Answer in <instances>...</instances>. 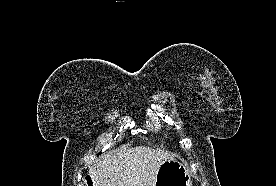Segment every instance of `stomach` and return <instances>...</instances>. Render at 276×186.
Wrapping results in <instances>:
<instances>
[{"label": "stomach", "instance_id": "obj_1", "mask_svg": "<svg viewBox=\"0 0 276 186\" xmlns=\"http://www.w3.org/2000/svg\"><path fill=\"white\" fill-rule=\"evenodd\" d=\"M155 186H192L189 170L176 159H168L158 169Z\"/></svg>", "mask_w": 276, "mask_h": 186}]
</instances>
